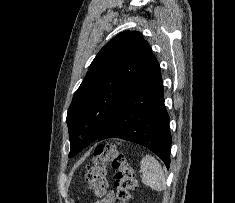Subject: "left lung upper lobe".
Listing matches in <instances>:
<instances>
[{
  "mask_svg": "<svg viewBox=\"0 0 235 203\" xmlns=\"http://www.w3.org/2000/svg\"><path fill=\"white\" fill-rule=\"evenodd\" d=\"M155 56L141 33L125 31L111 39L96 55L75 92L67 113L71 143L69 157L82 149L77 133L86 123L99 136L112 122Z\"/></svg>",
  "mask_w": 235,
  "mask_h": 203,
  "instance_id": "left-lung-upper-lobe-1",
  "label": "left lung upper lobe"
}]
</instances>
